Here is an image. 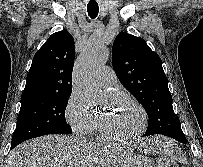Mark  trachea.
Masks as SVG:
<instances>
[{"mask_svg": "<svg viewBox=\"0 0 203 167\" xmlns=\"http://www.w3.org/2000/svg\"><path fill=\"white\" fill-rule=\"evenodd\" d=\"M99 11V7L97 3H89L87 5V12L90 18L94 19L97 17Z\"/></svg>", "mask_w": 203, "mask_h": 167, "instance_id": "obj_1", "label": "trachea"}]
</instances>
